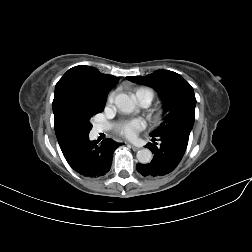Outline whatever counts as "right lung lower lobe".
Instances as JSON below:
<instances>
[{
	"label": "right lung lower lobe",
	"mask_w": 252,
	"mask_h": 252,
	"mask_svg": "<svg viewBox=\"0 0 252 252\" xmlns=\"http://www.w3.org/2000/svg\"><path fill=\"white\" fill-rule=\"evenodd\" d=\"M68 164L79 174L97 178L104 176L111 168L112 154L122 145L111 139L101 144L90 141L89 134L73 135L59 144Z\"/></svg>",
	"instance_id": "98d812e1"
}]
</instances>
